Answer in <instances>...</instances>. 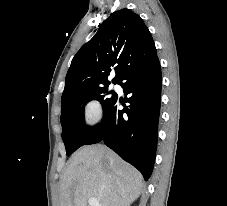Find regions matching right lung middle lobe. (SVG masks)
Instances as JSON below:
<instances>
[{"label":"right lung middle lobe","instance_id":"dd1d6c3e","mask_svg":"<svg viewBox=\"0 0 227 206\" xmlns=\"http://www.w3.org/2000/svg\"><path fill=\"white\" fill-rule=\"evenodd\" d=\"M108 85L87 90L62 100L61 124L62 139L66 147L67 156H70L79 147L86 144L92 132L89 131L82 123L80 114L83 113L81 105L91 100L99 101L104 112L117 98L115 94L107 98Z\"/></svg>","mask_w":227,"mask_h":206}]
</instances>
